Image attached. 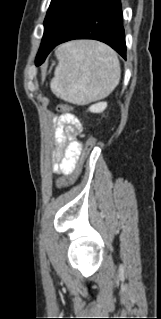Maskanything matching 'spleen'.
<instances>
[{
	"label": "spleen",
	"mask_w": 161,
	"mask_h": 319,
	"mask_svg": "<svg viewBox=\"0 0 161 319\" xmlns=\"http://www.w3.org/2000/svg\"><path fill=\"white\" fill-rule=\"evenodd\" d=\"M58 65L50 87L66 102L85 105L107 97L120 80L116 53L95 41L68 42L56 51Z\"/></svg>",
	"instance_id": "3e777b00"
}]
</instances>
